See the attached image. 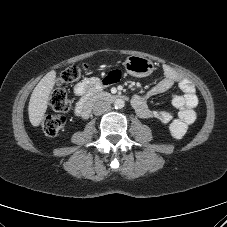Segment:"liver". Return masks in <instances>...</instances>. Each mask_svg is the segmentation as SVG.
Here are the masks:
<instances>
[{
	"instance_id": "liver-1",
	"label": "liver",
	"mask_w": 227,
	"mask_h": 227,
	"mask_svg": "<svg viewBox=\"0 0 227 227\" xmlns=\"http://www.w3.org/2000/svg\"><path fill=\"white\" fill-rule=\"evenodd\" d=\"M56 83V71L48 72L34 88L28 106L30 123L37 127L43 120L47 110L49 96Z\"/></svg>"
}]
</instances>
